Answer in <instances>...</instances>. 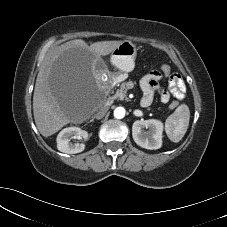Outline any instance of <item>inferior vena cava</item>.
<instances>
[{
  "mask_svg": "<svg viewBox=\"0 0 227 227\" xmlns=\"http://www.w3.org/2000/svg\"><path fill=\"white\" fill-rule=\"evenodd\" d=\"M109 107L106 106V105H102L99 109H98V112L96 114V118L97 119H101L104 117V115L107 113Z\"/></svg>",
  "mask_w": 227,
  "mask_h": 227,
  "instance_id": "602c4592",
  "label": "inferior vena cava"
}]
</instances>
